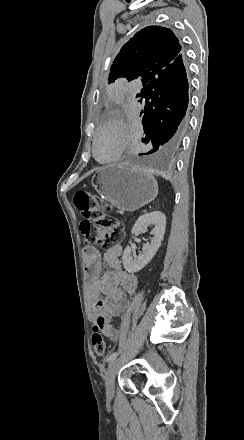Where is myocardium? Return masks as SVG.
<instances>
[{
  "label": "myocardium",
  "instance_id": "f54148a6",
  "mask_svg": "<svg viewBox=\"0 0 244 440\" xmlns=\"http://www.w3.org/2000/svg\"><path fill=\"white\" fill-rule=\"evenodd\" d=\"M115 118L112 120L113 122H105L100 128H98L92 137V155L94 157V159L99 163V164H112L115 163L116 161L119 160L120 156H121V143H122V130H121V126L118 125L117 123L121 122V119L119 118L120 116L118 114H116L114 116ZM105 130H109L111 131L112 135H113V142H112V149H111V154L109 155L108 158L101 160L98 158L97 156V149H96V144H97V138L98 135Z\"/></svg>",
  "mask_w": 244,
  "mask_h": 440
}]
</instances>
